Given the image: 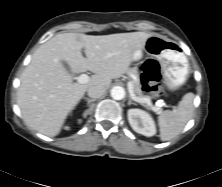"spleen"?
<instances>
[{
  "instance_id": "1",
  "label": "spleen",
  "mask_w": 222,
  "mask_h": 187,
  "mask_svg": "<svg viewBox=\"0 0 222 187\" xmlns=\"http://www.w3.org/2000/svg\"><path fill=\"white\" fill-rule=\"evenodd\" d=\"M193 93H187L183 96L178 107L173 110H165L158 117L160 139L169 141L181 133L190 120L194 109Z\"/></svg>"
}]
</instances>
